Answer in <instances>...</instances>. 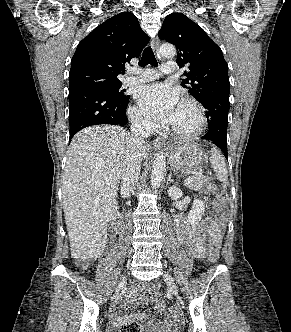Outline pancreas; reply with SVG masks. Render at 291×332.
<instances>
[{
  "instance_id": "cf45deb5",
  "label": "pancreas",
  "mask_w": 291,
  "mask_h": 332,
  "mask_svg": "<svg viewBox=\"0 0 291 332\" xmlns=\"http://www.w3.org/2000/svg\"><path fill=\"white\" fill-rule=\"evenodd\" d=\"M211 178L208 176H197L193 179V181L188 184V188L192 190L202 191L204 186L209 184Z\"/></svg>"
}]
</instances>
